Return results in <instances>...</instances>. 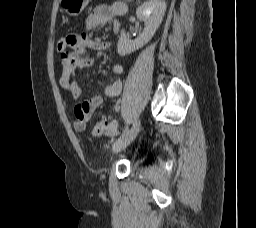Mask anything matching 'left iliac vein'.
<instances>
[{
    "instance_id": "1",
    "label": "left iliac vein",
    "mask_w": 256,
    "mask_h": 228,
    "mask_svg": "<svg viewBox=\"0 0 256 228\" xmlns=\"http://www.w3.org/2000/svg\"><path fill=\"white\" fill-rule=\"evenodd\" d=\"M140 129V121L136 120L132 127L113 145V152L117 153L126 148L137 136Z\"/></svg>"
}]
</instances>
